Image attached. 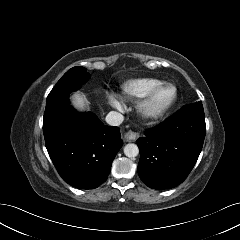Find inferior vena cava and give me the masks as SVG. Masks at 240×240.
<instances>
[{
	"label": "inferior vena cava",
	"mask_w": 240,
	"mask_h": 240,
	"mask_svg": "<svg viewBox=\"0 0 240 240\" xmlns=\"http://www.w3.org/2000/svg\"><path fill=\"white\" fill-rule=\"evenodd\" d=\"M123 120H124L123 115L116 111H111L106 116V122L112 126L120 125L123 122Z\"/></svg>",
	"instance_id": "602c4592"
}]
</instances>
